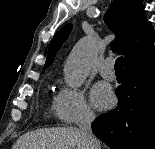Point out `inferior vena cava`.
Returning a JSON list of instances; mask_svg holds the SVG:
<instances>
[{
	"label": "inferior vena cava",
	"mask_w": 155,
	"mask_h": 149,
	"mask_svg": "<svg viewBox=\"0 0 155 149\" xmlns=\"http://www.w3.org/2000/svg\"><path fill=\"white\" fill-rule=\"evenodd\" d=\"M94 119V113L90 111H85L79 123V128L85 137L87 149H100V143L98 139L93 135L91 130V123Z\"/></svg>",
	"instance_id": "1"
}]
</instances>
